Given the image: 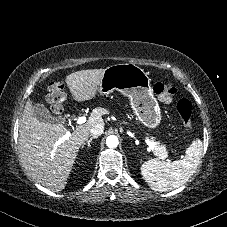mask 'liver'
Listing matches in <instances>:
<instances>
[{"label": "liver", "mask_w": 227, "mask_h": 227, "mask_svg": "<svg viewBox=\"0 0 227 227\" xmlns=\"http://www.w3.org/2000/svg\"><path fill=\"white\" fill-rule=\"evenodd\" d=\"M105 69H88L66 77L67 87L77 102L96 98ZM31 100L26 102L19 125L18 148L28 174L39 184L52 191H62L75 163L80 147L88 140L95 124H104L103 108L92 110L87 122L79 125L65 139L64 125L39 121L33 115Z\"/></svg>", "instance_id": "1"}]
</instances>
